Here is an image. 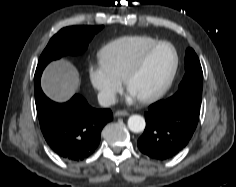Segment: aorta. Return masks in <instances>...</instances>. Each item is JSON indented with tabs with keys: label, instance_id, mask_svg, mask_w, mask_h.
<instances>
[{
	"label": "aorta",
	"instance_id": "obj_1",
	"mask_svg": "<svg viewBox=\"0 0 236 187\" xmlns=\"http://www.w3.org/2000/svg\"><path fill=\"white\" fill-rule=\"evenodd\" d=\"M145 126V119L140 115H132L128 119V128L134 133L142 132Z\"/></svg>",
	"mask_w": 236,
	"mask_h": 187
}]
</instances>
